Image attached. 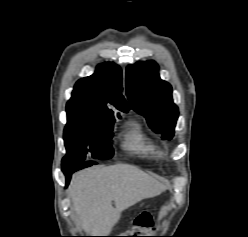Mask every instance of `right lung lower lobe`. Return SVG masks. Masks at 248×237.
I'll return each instance as SVG.
<instances>
[{"mask_svg":"<svg viewBox=\"0 0 248 237\" xmlns=\"http://www.w3.org/2000/svg\"><path fill=\"white\" fill-rule=\"evenodd\" d=\"M92 164H96V162H80V163L69 164L67 166L62 165V170L66 176V186L70 181L72 173L82 168L89 167Z\"/></svg>","mask_w":248,"mask_h":237,"instance_id":"obj_1","label":"right lung lower lobe"}]
</instances>
